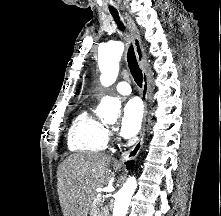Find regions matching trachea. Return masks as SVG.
I'll return each mask as SVG.
<instances>
[{"label": "trachea", "instance_id": "3493384b", "mask_svg": "<svg viewBox=\"0 0 221 216\" xmlns=\"http://www.w3.org/2000/svg\"><path fill=\"white\" fill-rule=\"evenodd\" d=\"M110 12H111L114 20L116 21L118 28L121 31H124L125 27H124L123 23L120 21L118 12L116 10H111ZM127 62H128V66L131 71V74L134 78V81L137 83V85L139 87H142V81H143L142 71L138 67V63H137L135 52H134L132 45H130L128 48Z\"/></svg>", "mask_w": 221, "mask_h": 216}]
</instances>
